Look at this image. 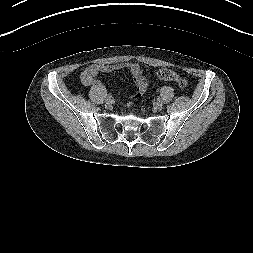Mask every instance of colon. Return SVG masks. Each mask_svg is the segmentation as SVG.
Listing matches in <instances>:
<instances>
[{
    "mask_svg": "<svg viewBox=\"0 0 253 253\" xmlns=\"http://www.w3.org/2000/svg\"><path fill=\"white\" fill-rule=\"evenodd\" d=\"M156 74L160 79L176 82L180 88H185L188 84L187 80L184 77L176 74L170 69H160L156 72ZM135 84L136 88L135 91L129 97L130 101L141 97L146 90V82L143 78L135 79Z\"/></svg>",
    "mask_w": 253,
    "mask_h": 253,
    "instance_id": "1",
    "label": "colon"
}]
</instances>
